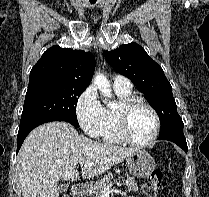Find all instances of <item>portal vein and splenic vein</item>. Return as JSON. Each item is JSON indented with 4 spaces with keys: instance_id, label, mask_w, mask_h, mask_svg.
I'll return each instance as SVG.
<instances>
[{
    "instance_id": "1",
    "label": "portal vein and splenic vein",
    "mask_w": 209,
    "mask_h": 197,
    "mask_svg": "<svg viewBox=\"0 0 209 197\" xmlns=\"http://www.w3.org/2000/svg\"><path fill=\"white\" fill-rule=\"evenodd\" d=\"M84 163H85V159H84V158L79 159V164H80L81 166H82ZM111 186H112V183H111V184H103V190H102V192H110ZM117 186H121V184L117 182Z\"/></svg>"
}]
</instances>
